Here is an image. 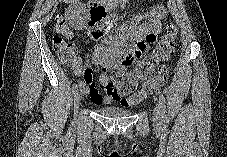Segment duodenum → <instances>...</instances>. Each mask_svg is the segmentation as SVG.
I'll use <instances>...</instances> for the list:
<instances>
[{"mask_svg":"<svg viewBox=\"0 0 227 157\" xmlns=\"http://www.w3.org/2000/svg\"><path fill=\"white\" fill-rule=\"evenodd\" d=\"M87 9H90V20L86 21L92 32H109L116 30L114 25L116 18L114 15L107 13L104 4L100 0H92L91 4H87Z\"/></svg>","mask_w":227,"mask_h":157,"instance_id":"1","label":"duodenum"}]
</instances>
